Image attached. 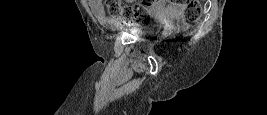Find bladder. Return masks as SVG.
<instances>
[{
	"instance_id": "31cf9c89",
	"label": "bladder",
	"mask_w": 267,
	"mask_h": 115,
	"mask_svg": "<svg viewBox=\"0 0 267 115\" xmlns=\"http://www.w3.org/2000/svg\"><path fill=\"white\" fill-rule=\"evenodd\" d=\"M147 34H148V31L145 30V29H139V30H137V31L135 32V35H137V36H145V35H147Z\"/></svg>"
}]
</instances>
